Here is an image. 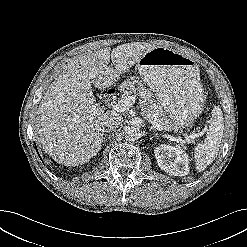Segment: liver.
<instances>
[{
  "instance_id": "6515ba94",
  "label": "liver",
  "mask_w": 247,
  "mask_h": 247,
  "mask_svg": "<svg viewBox=\"0 0 247 247\" xmlns=\"http://www.w3.org/2000/svg\"><path fill=\"white\" fill-rule=\"evenodd\" d=\"M154 48L144 42L127 43L69 61L44 93L34 118L36 141L54 161L79 166L99 152L104 116L111 111L105 112V107L96 103L91 83L98 89L109 88ZM110 59L114 67L108 66Z\"/></svg>"
}]
</instances>
